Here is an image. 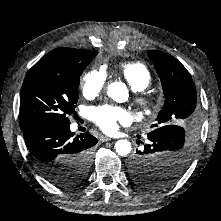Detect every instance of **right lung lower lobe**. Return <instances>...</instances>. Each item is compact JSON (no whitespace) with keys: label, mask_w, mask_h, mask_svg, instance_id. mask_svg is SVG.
<instances>
[{"label":"right lung lower lobe","mask_w":221,"mask_h":221,"mask_svg":"<svg viewBox=\"0 0 221 221\" xmlns=\"http://www.w3.org/2000/svg\"><path fill=\"white\" fill-rule=\"evenodd\" d=\"M69 125L70 122L44 120L22 130L33 160L46 178L49 168L60 167L66 159L90 152L97 143L89 132L73 138Z\"/></svg>","instance_id":"obj_1"}]
</instances>
